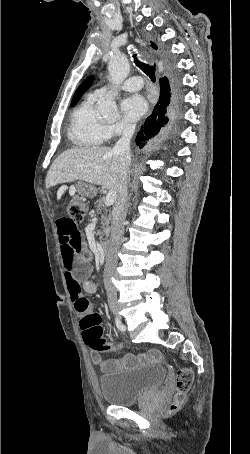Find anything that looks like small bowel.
<instances>
[{"instance_id":"small-bowel-1","label":"small bowel","mask_w":250,"mask_h":454,"mask_svg":"<svg viewBox=\"0 0 250 454\" xmlns=\"http://www.w3.org/2000/svg\"><path fill=\"white\" fill-rule=\"evenodd\" d=\"M57 230L66 284L75 310L81 317L87 311H94V307L84 295L95 293L97 289L92 275L91 252L86 246L77 225L72 223L69 218H59ZM91 357L92 361L104 372L115 369L119 364L131 365L135 363V359L131 355L125 356L121 361L105 360L99 352L92 351ZM149 358L153 361H159L161 357L157 352H152Z\"/></svg>"}]
</instances>
